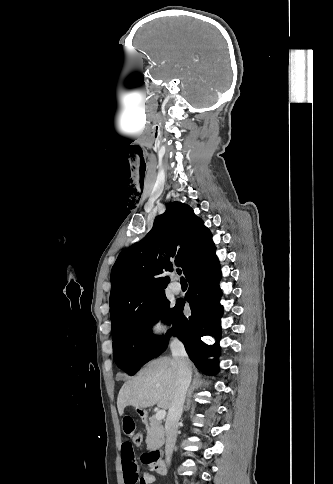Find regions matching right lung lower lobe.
I'll return each instance as SVG.
<instances>
[{
    "label": "right lung lower lobe",
    "mask_w": 333,
    "mask_h": 484,
    "mask_svg": "<svg viewBox=\"0 0 333 484\" xmlns=\"http://www.w3.org/2000/svg\"><path fill=\"white\" fill-rule=\"evenodd\" d=\"M220 278L219 261L214 250L209 258L187 277L189 290L185 299L190 303L192 315L185 317L182 313L184 302L178 304L173 327L162 340L155 357L167 348L169 336L173 333L183 342L186 352L199 370L206 374L217 373V361L207 360V357H217L220 354L219 320L223 313V307L219 303L222 294L219 287ZM205 335L215 337L216 343L212 346L204 344L201 337Z\"/></svg>",
    "instance_id": "1"
}]
</instances>
